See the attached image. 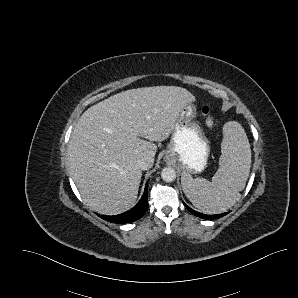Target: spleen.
Masks as SVG:
<instances>
[{"label": "spleen", "instance_id": "obj_1", "mask_svg": "<svg viewBox=\"0 0 298 298\" xmlns=\"http://www.w3.org/2000/svg\"><path fill=\"white\" fill-rule=\"evenodd\" d=\"M220 167L209 182L184 173L183 191L194 207L204 214H219L241 198L249 177L252 151L244 127L238 121L224 125ZM183 186V184H182Z\"/></svg>", "mask_w": 298, "mask_h": 298}]
</instances>
